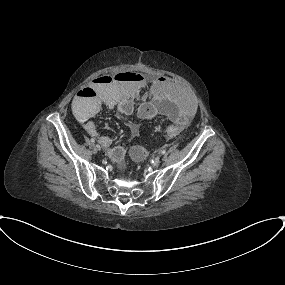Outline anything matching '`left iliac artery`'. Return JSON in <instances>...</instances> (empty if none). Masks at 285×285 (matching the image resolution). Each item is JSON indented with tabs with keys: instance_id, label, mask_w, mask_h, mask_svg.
Segmentation results:
<instances>
[{
	"instance_id": "left-iliac-artery-1",
	"label": "left iliac artery",
	"mask_w": 285,
	"mask_h": 285,
	"mask_svg": "<svg viewBox=\"0 0 285 285\" xmlns=\"http://www.w3.org/2000/svg\"><path fill=\"white\" fill-rule=\"evenodd\" d=\"M165 152H166L165 150H162V151H161L162 154H165Z\"/></svg>"
}]
</instances>
